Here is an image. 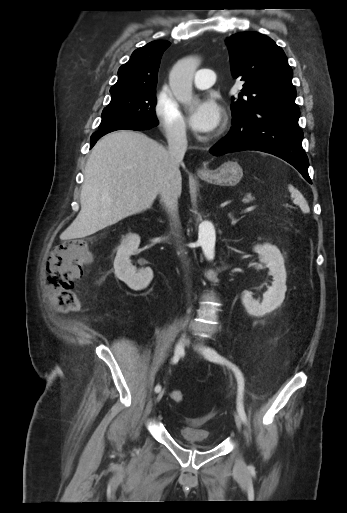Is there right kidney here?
I'll use <instances>...</instances> for the list:
<instances>
[{
    "label": "right kidney",
    "instance_id": "right-kidney-1",
    "mask_svg": "<svg viewBox=\"0 0 347 513\" xmlns=\"http://www.w3.org/2000/svg\"><path fill=\"white\" fill-rule=\"evenodd\" d=\"M140 237L137 234H129L121 241L117 248L114 260L115 275L125 282L133 290H141L148 286L153 278L150 268L136 271L131 264L130 256L138 249Z\"/></svg>",
    "mask_w": 347,
    "mask_h": 513
}]
</instances>
